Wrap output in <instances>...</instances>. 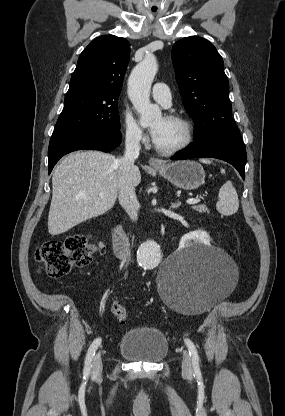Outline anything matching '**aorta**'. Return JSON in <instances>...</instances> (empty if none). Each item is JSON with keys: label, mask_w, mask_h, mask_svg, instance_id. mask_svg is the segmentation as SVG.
I'll list each match as a JSON object with an SVG mask.
<instances>
[{"label": "aorta", "mask_w": 285, "mask_h": 416, "mask_svg": "<svg viewBox=\"0 0 285 416\" xmlns=\"http://www.w3.org/2000/svg\"><path fill=\"white\" fill-rule=\"evenodd\" d=\"M155 57L148 56L131 72L128 80L129 98L140 115L141 125H148L161 116L158 106L150 102V90L157 73ZM161 260L160 247L153 240H147L138 249L137 261L145 269L156 267Z\"/></svg>", "instance_id": "aorta-1"}]
</instances>
